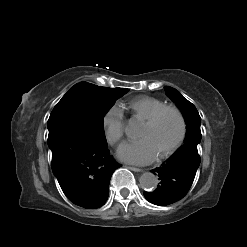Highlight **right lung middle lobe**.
<instances>
[{
  "instance_id": "1",
  "label": "right lung middle lobe",
  "mask_w": 247,
  "mask_h": 247,
  "mask_svg": "<svg viewBox=\"0 0 247 247\" xmlns=\"http://www.w3.org/2000/svg\"><path fill=\"white\" fill-rule=\"evenodd\" d=\"M127 91L128 89L99 87L87 82L78 83L54 107L47 122L48 130H74L105 145L104 115Z\"/></svg>"
}]
</instances>
